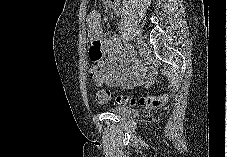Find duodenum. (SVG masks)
<instances>
[{
  "label": "duodenum",
  "instance_id": "obj_1",
  "mask_svg": "<svg viewBox=\"0 0 227 157\" xmlns=\"http://www.w3.org/2000/svg\"><path fill=\"white\" fill-rule=\"evenodd\" d=\"M111 1H112V7H113L114 11H115L116 13H118V12H119V9H118V6H117V4H116V1H117V0H111Z\"/></svg>",
  "mask_w": 227,
  "mask_h": 157
}]
</instances>
